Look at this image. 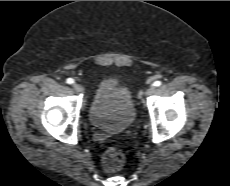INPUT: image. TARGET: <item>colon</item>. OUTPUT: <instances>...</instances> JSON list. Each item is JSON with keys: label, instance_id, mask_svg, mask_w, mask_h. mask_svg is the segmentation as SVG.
<instances>
[{"label": "colon", "instance_id": "obj_1", "mask_svg": "<svg viewBox=\"0 0 230 186\" xmlns=\"http://www.w3.org/2000/svg\"><path fill=\"white\" fill-rule=\"evenodd\" d=\"M101 163L106 170L115 172L123 167L125 156L120 150L109 148L103 152Z\"/></svg>", "mask_w": 230, "mask_h": 186}]
</instances>
